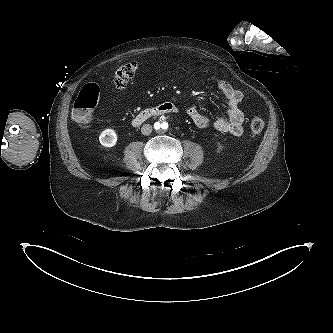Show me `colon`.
<instances>
[{"instance_id": "1", "label": "colon", "mask_w": 333, "mask_h": 333, "mask_svg": "<svg viewBox=\"0 0 333 333\" xmlns=\"http://www.w3.org/2000/svg\"><path fill=\"white\" fill-rule=\"evenodd\" d=\"M140 67V62L131 61L119 67L114 74L117 88H125ZM100 89L96 84H86L79 92L72 108V118L80 125L89 124L94 118V111L99 101ZM264 128L262 118L255 116L250 122V134L253 138L260 136Z\"/></svg>"}]
</instances>
